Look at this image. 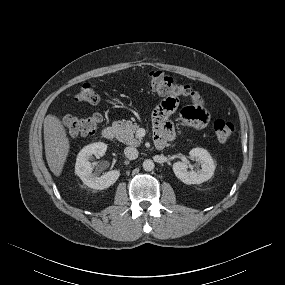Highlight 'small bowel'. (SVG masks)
I'll return each mask as SVG.
<instances>
[{
	"label": "small bowel",
	"mask_w": 285,
	"mask_h": 285,
	"mask_svg": "<svg viewBox=\"0 0 285 285\" xmlns=\"http://www.w3.org/2000/svg\"><path fill=\"white\" fill-rule=\"evenodd\" d=\"M180 108L181 100L175 94H167L160 100L152 115L155 138H173L174 124L170 118L176 116ZM180 114L183 122L193 129L205 128L210 120L208 110L201 100L182 108Z\"/></svg>",
	"instance_id": "small-bowel-1"
}]
</instances>
